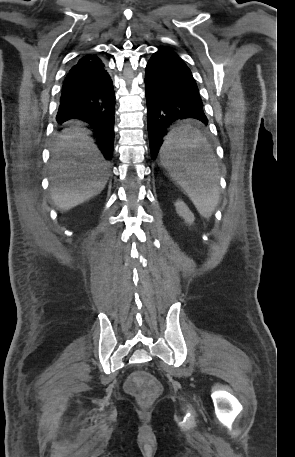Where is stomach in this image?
Returning a JSON list of instances; mask_svg holds the SVG:
<instances>
[{
	"mask_svg": "<svg viewBox=\"0 0 295 457\" xmlns=\"http://www.w3.org/2000/svg\"><path fill=\"white\" fill-rule=\"evenodd\" d=\"M161 162H162V164L164 165V164L166 163V160L163 159V158H161Z\"/></svg>",
	"mask_w": 295,
	"mask_h": 457,
	"instance_id": "1",
	"label": "stomach"
}]
</instances>
